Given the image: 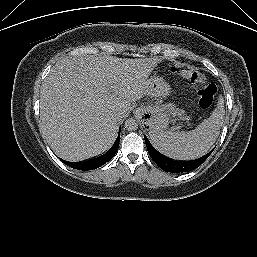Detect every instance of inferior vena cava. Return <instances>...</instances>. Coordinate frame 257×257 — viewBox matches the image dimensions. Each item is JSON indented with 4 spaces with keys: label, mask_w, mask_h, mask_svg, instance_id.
<instances>
[{
    "label": "inferior vena cava",
    "mask_w": 257,
    "mask_h": 257,
    "mask_svg": "<svg viewBox=\"0 0 257 257\" xmlns=\"http://www.w3.org/2000/svg\"><path fill=\"white\" fill-rule=\"evenodd\" d=\"M113 118H114V120L118 121L120 119V116L119 115H115Z\"/></svg>",
    "instance_id": "obj_1"
}]
</instances>
